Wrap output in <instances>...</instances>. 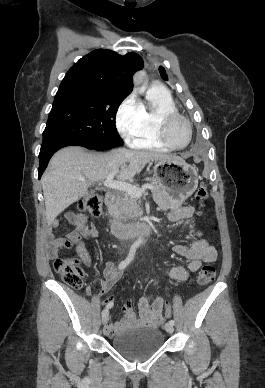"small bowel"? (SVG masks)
<instances>
[{
	"label": "small bowel",
	"mask_w": 265,
	"mask_h": 388,
	"mask_svg": "<svg viewBox=\"0 0 265 388\" xmlns=\"http://www.w3.org/2000/svg\"><path fill=\"white\" fill-rule=\"evenodd\" d=\"M194 214V207L192 206H178L168 213V218L171 221H180L190 219ZM65 220L73 226L66 237L52 238L49 242V255L56 257L61 249H68L74 247L78 252L81 260L87 267L92 266V260L88 254L82 238L91 239L96 236V230L90 228L86 224L85 216L78 212H67L64 215ZM58 221H54L53 228H57ZM103 247L105 244L102 243ZM176 254L186 258L189 262L187 267L177 266L171 269L170 277L177 281H187L191 273L198 271L203 262L215 261L217 258L216 249L211 246L205 239L199 238L195 240L190 246L176 244L173 247ZM122 271L117 268L111 259H107L103 270V281L101 282V294H107L122 276ZM86 293L91 296L92 288L89 285L86 288ZM106 305L114 304L113 296L106 298ZM139 315L133 310V305L127 301L123 305L124 315L118 322H113L108 317L105 322L104 333L106 335H114L122 332L128 328L139 327H157L164 322L163 309L164 299L156 298L150 304L147 297L142 296L139 299Z\"/></svg>",
	"instance_id": "small-bowel-1"
}]
</instances>
